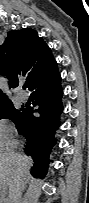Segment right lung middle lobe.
<instances>
[{
    "mask_svg": "<svg viewBox=\"0 0 89 203\" xmlns=\"http://www.w3.org/2000/svg\"><path fill=\"white\" fill-rule=\"evenodd\" d=\"M25 107H22L20 110L14 108L12 103H7L0 107V119L7 118L12 120L16 125L23 116Z\"/></svg>",
    "mask_w": 89,
    "mask_h": 203,
    "instance_id": "right-lung-middle-lobe-1",
    "label": "right lung middle lobe"
}]
</instances>
